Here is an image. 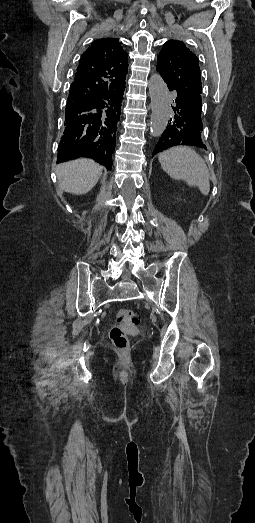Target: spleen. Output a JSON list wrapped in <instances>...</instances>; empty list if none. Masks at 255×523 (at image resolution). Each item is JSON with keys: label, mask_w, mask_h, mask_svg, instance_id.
<instances>
[{"label": "spleen", "mask_w": 255, "mask_h": 523, "mask_svg": "<svg viewBox=\"0 0 255 523\" xmlns=\"http://www.w3.org/2000/svg\"><path fill=\"white\" fill-rule=\"evenodd\" d=\"M162 170L174 178L185 180L188 186H198L201 194L210 192L208 168L201 156L187 146H177L161 152L158 158Z\"/></svg>", "instance_id": "spleen-1"}]
</instances>
